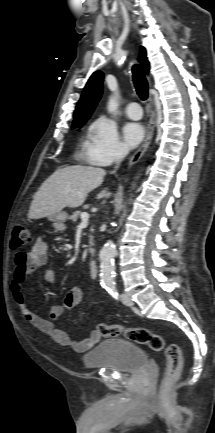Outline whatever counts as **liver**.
<instances>
[{"mask_svg": "<svg viewBox=\"0 0 215 433\" xmlns=\"http://www.w3.org/2000/svg\"><path fill=\"white\" fill-rule=\"evenodd\" d=\"M105 174L104 169L92 166L72 165L57 169L35 193L28 217H50L65 207L81 206L88 193L102 184ZM110 196L106 189L97 195L98 198Z\"/></svg>", "mask_w": 215, "mask_h": 433, "instance_id": "1", "label": "liver"}]
</instances>
